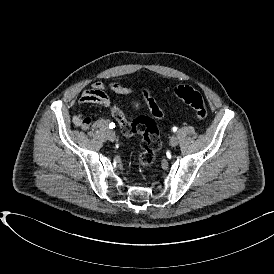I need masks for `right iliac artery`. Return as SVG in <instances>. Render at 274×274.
Here are the masks:
<instances>
[{
	"mask_svg": "<svg viewBox=\"0 0 274 274\" xmlns=\"http://www.w3.org/2000/svg\"><path fill=\"white\" fill-rule=\"evenodd\" d=\"M114 127H115V124L113 122L109 124L110 129H113Z\"/></svg>",
	"mask_w": 274,
	"mask_h": 274,
	"instance_id": "obj_1",
	"label": "right iliac artery"
}]
</instances>
